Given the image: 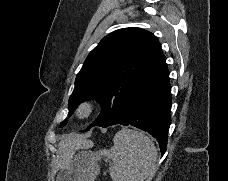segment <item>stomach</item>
<instances>
[{"label": "stomach", "mask_w": 228, "mask_h": 181, "mask_svg": "<svg viewBox=\"0 0 228 181\" xmlns=\"http://www.w3.org/2000/svg\"><path fill=\"white\" fill-rule=\"evenodd\" d=\"M94 157L91 151H77L69 165L59 171L56 181H95L100 167Z\"/></svg>", "instance_id": "0dacf381"}]
</instances>
